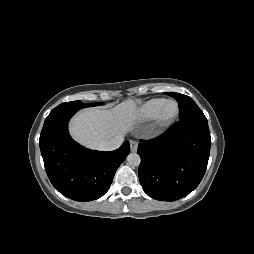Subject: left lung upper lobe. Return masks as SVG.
<instances>
[{
    "instance_id": "5c2ea615",
    "label": "left lung upper lobe",
    "mask_w": 254,
    "mask_h": 254,
    "mask_svg": "<svg viewBox=\"0 0 254 254\" xmlns=\"http://www.w3.org/2000/svg\"><path fill=\"white\" fill-rule=\"evenodd\" d=\"M166 94L174 97L178 101L179 110H180V115H179L180 120H186V119L207 120L205 115L201 111V109L189 96L175 93V92H169Z\"/></svg>"
}]
</instances>
